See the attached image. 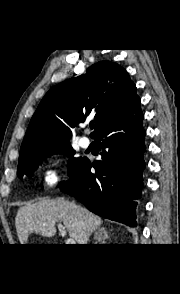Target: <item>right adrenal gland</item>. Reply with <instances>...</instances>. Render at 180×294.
Returning <instances> with one entry per match:
<instances>
[{"label": "right adrenal gland", "mask_w": 180, "mask_h": 294, "mask_svg": "<svg viewBox=\"0 0 180 294\" xmlns=\"http://www.w3.org/2000/svg\"><path fill=\"white\" fill-rule=\"evenodd\" d=\"M109 238L108 232L104 227L98 230V232L95 233L94 239H96L95 244H104L105 240Z\"/></svg>", "instance_id": "2a0ac1e0"}]
</instances>
